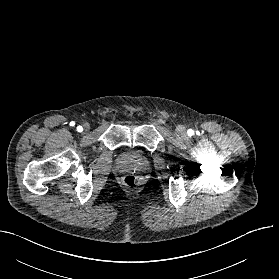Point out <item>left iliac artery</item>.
<instances>
[{
  "instance_id": "44dca946",
  "label": "left iliac artery",
  "mask_w": 279,
  "mask_h": 279,
  "mask_svg": "<svg viewBox=\"0 0 279 279\" xmlns=\"http://www.w3.org/2000/svg\"><path fill=\"white\" fill-rule=\"evenodd\" d=\"M193 133H194V131H193L192 129H189V130H188V135H189V136L193 135Z\"/></svg>"
}]
</instances>
